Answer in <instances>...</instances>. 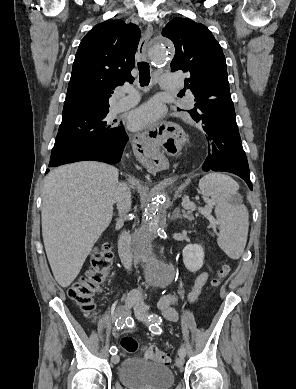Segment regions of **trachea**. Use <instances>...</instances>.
Returning <instances> with one entry per match:
<instances>
[{
  "instance_id": "obj_1",
  "label": "trachea",
  "mask_w": 296,
  "mask_h": 389,
  "mask_svg": "<svg viewBox=\"0 0 296 389\" xmlns=\"http://www.w3.org/2000/svg\"><path fill=\"white\" fill-rule=\"evenodd\" d=\"M139 70V82L141 86H148L150 83V69L149 64L147 62H139L138 63Z\"/></svg>"
}]
</instances>
